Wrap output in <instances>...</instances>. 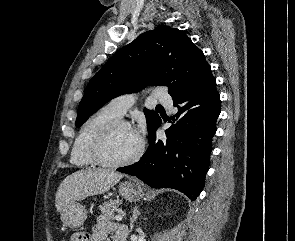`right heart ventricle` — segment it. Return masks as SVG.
Returning <instances> with one entry per match:
<instances>
[{"label": "right heart ventricle", "mask_w": 295, "mask_h": 241, "mask_svg": "<svg viewBox=\"0 0 295 241\" xmlns=\"http://www.w3.org/2000/svg\"><path fill=\"white\" fill-rule=\"evenodd\" d=\"M108 108L104 107L90 116L80 128L72 147L70 162L77 167H92L97 163L91 155V146L100 131L111 121L118 119Z\"/></svg>", "instance_id": "e07e8e85"}]
</instances>
